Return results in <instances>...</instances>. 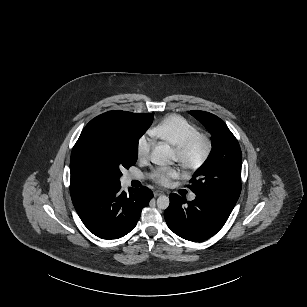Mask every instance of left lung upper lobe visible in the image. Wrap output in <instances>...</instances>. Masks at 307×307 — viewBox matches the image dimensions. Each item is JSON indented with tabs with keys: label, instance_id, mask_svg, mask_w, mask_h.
Here are the masks:
<instances>
[{
	"label": "left lung upper lobe",
	"instance_id": "1",
	"mask_svg": "<svg viewBox=\"0 0 307 307\" xmlns=\"http://www.w3.org/2000/svg\"><path fill=\"white\" fill-rule=\"evenodd\" d=\"M190 113L210 131L212 150L194 174L189 188L196 196L234 207L241 192L239 143L219 117L198 110Z\"/></svg>",
	"mask_w": 307,
	"mask_h": 307
}]
</instances>
